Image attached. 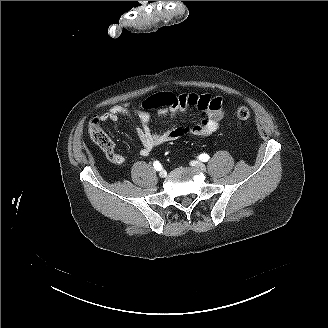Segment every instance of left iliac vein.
I'll list each match as a JSON object with an SVG mask.
<instances>
[{"instance_id":"left-iliac-vein-1","label":"left iliac vein","mask_w":328,"mask_h":328,"mask_svg":"<svg viewBox=\"0 0 328 328\" xmlns=\"http://www.w3.org/2000/svg\"><path fill=\"white\" fill-rule=\"evenodd\" d=\"M193 167H196V168H199V169H202V170H205L206 169V166L200 162V161H192L190 163Z\"/></svg>"}]
</instances>
